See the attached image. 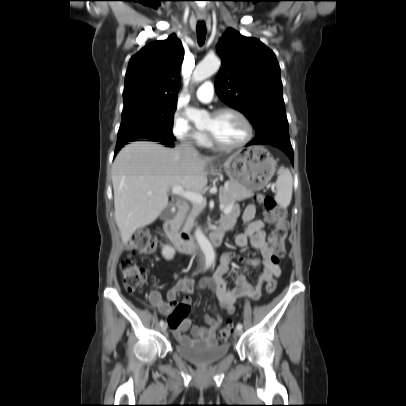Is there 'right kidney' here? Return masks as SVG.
Here are the masks:
<instances>
[{
    "label": "right kidney",
    "instance_id": "ca27d5eb",
    "mask_svg": "<svg viewBox=\"0 0 406 406\" xmlns=\"http://www.w3.org/2000/svg\"><path fill=\"white\" fill-rule=\"evenodd\" d=\"M162 254L166 259H172L174 256V251L170 247L164 246Z\"/></svg>",
    "mask_w": 406,
    "mask_h": 406
}]
</instances>
